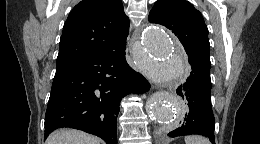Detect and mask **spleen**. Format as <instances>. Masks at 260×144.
<instances>
[{"label":"spleen","mask_w":260,"mask_h":144,"mask_svg":"<svg viewBox=\"0 0 260 144\" xmlns=\"http://www.w3.org/2000/svg\"><path fill=\"white\" fill-rule=\"evenodd\" d=\"M185 144H210V142L204 137L193 135L185 137Z\"/></svg>","instance_id":"3e777b00"}]
</instances>
